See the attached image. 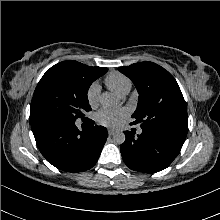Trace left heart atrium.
Instances as JSON below:
<instances>
[{
    "label": "left heart atrium",
    "mask_w": 220,
    "mask_h": 220,
    "mask_svg": "<svg viewBox=\"0 0 220 220\" xmlns=\"http://www.w3.org/2000/svg\"><path fill=\"white\" fill-rule=\"evenodd\" d=\"M127 117V111L123 108L102 109L97 114L99 124L107 127H117Z\"/></svg>",
    "instance_id": "obj_1"
}]
</instances>
